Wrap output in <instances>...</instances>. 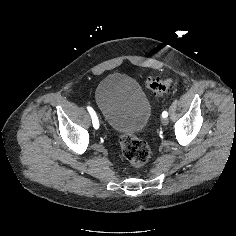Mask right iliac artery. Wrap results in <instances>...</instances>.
Wrapping results in <instances>:
<instances>
[{"instance_id":"obj_1","label":"right iliac artery","mask_w":236,"mask_h":236,"mask_svg":"<svg viewBox=\"0 0 236 236\" xmlns=\"http://www.w3.org/2000/svg\"><path fill=\"white\" fill-rule=\"evenodd\" d=\"M87 110L88 112L90 113L91 115V118H92V123H93V127L95 128V130H100V125H99V121H98V118H97V115H96V112L93 110L92 107L90 106H87Z\"/></svg>"}]
</instances>
